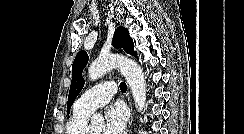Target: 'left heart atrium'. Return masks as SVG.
<instances>
[{
  "label": "left heart atrium",
  "mask_w": 244,
  "mask_h": 134,
  "mask_svg": "<svg viewBox=\"0 0 244 134\" xmlns=\"http://www.w3.org/2000/svg\"><path fill=\"white\" fill-rule=\"evenodd\" d=\"M103 134H125L128 114L121 105L110 107L105 113Z\"/></svg>",
  "instance_id": "39dd6f15"
}]
</instances>
